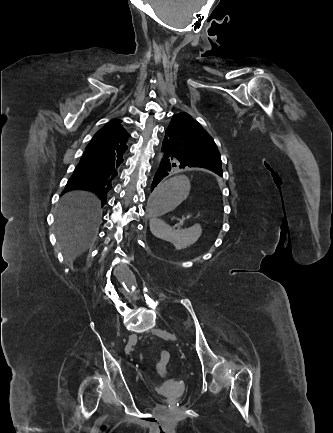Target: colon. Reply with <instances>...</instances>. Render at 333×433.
Wrapping results in <instances>:
<instances>
[{"mask_svg": "<svg viewBox=\"0 0 333 433\" xmlns=\"http://www.w3.org/2000/svg\"><path fill=\"white\" fill-rule=\"evenodd\" d=\"M171 355L168 351H161L156 358V368L159 374L165 375Z\"/></svg>", "mask_w": 333, "mask_h": 433, "instance_id": "1", "label": "colon"}]
</instances>
